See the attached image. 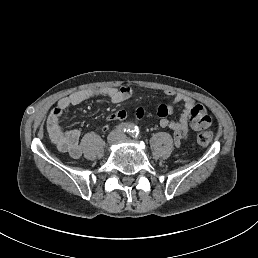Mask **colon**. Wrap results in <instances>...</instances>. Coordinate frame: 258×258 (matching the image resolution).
Wrapping results in <instances>:
<instances>
[{
    "instance_id": "colon-1",
    "label": "colon",
    "mask_w": 258,
    "mask_h": 258,
    "mask_svg": "<svg viewBox=\"0 0 258 258\" xmlns=\"http://www.w3.org/2000/svg\"><path fill=\"white\" fill-rule=\"evenodd\" d=\"M212 139L213 133L211 131H201L196 136L197 143L202 147L208 146Z\"/></svg>"
}]
</instances>
